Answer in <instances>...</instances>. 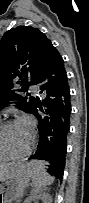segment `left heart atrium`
Listing matches in <instances>:
<instances>
[{"label":"left heart atrium","instance_id":"1","mask_svg":"<svg viewBox=\"0 0 89 203\" xmlns=\"http://www.w3.org/2000/svg\"><path fill=\"white\" fill-rule=\"evenodd\" d=\"M21 124L23 125V127H24L25 129H27L28 126H29L28 121H27V120H24V119L21 121Z\"/></svg>","mask_w":89,"mask_h":203}]
</instances>
